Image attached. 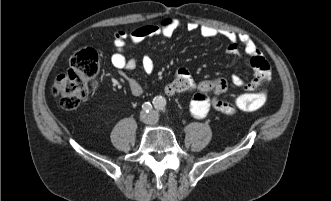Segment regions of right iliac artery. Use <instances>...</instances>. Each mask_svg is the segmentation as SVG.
I'll list each match as a JSON object with an SVG mask.
<instances>
[{
	"mask_svg": "<svg viewBox=\"0 0 331 201\" xmlns=\"http://www.w3.org/2000/svg\"><path fill=\"white\" fill-rule=\"evenodd\" d=\"M142 108L145 112H150L152 110V105L151 103L149 102H145L143 105H142Z\"/></svg>",
	"mask_w": 331,
	"mask_h": 201,
	"instance_id": "1",
	"label": "right iliac artery"
}]
</instances>
